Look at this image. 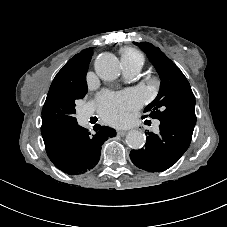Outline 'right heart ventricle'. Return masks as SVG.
Segmentation results:
<instances>
[{
  "label": "right heart ventricle",
  "mask_w": 227,
  "mask_h": 227,
  "mask_svg": "<svg viewBox=\"0 0 227 227\" xmlns=\"http://www.w3.org/2000/svg\"><path fill=\"white\" fill-rule=\"evenodd\" d=\"M122 60H125L129 63L138 64L142 67L145 62V57L140 51L136 49L125 48L122 50Z\"/></svg>",
  "instance_id": "1"
}]
</instances>
